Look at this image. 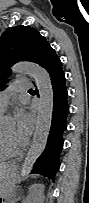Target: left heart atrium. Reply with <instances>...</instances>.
<instances>
[{"instance_id":"39dd6f15","label":"left heart atrium","mask_w":89,"mask_h":203,"mask_svg":"<svg viewBox=\"0 0 89 203\" xmlns=\"http://www.w3.org/2000/svg\"><path fill=\"white\" fill-rule=\"evenodd\" d=\"M16 135L25 143L31 135L34 127V118L25 109H19L15 114Z\"/></svg>"}]
</instances>
